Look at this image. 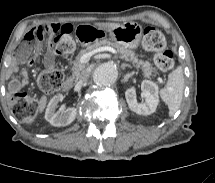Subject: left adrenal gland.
I'll return each instance as SVG.
<instances>
[{"instance_id": "obj_1", "label": "left adrenal gland", "mask_w": 215, "mask_h": 183, "mask_svg": "<svg viewBox=\"0 0 215 183\" xmlns=\"http://www.w3.org/2000/svg\"><path fill=\"white\" fill-rule=\"evenodd\" d=\"M125 67H130V65L125 64V63L121 64V68H122V69H125Z\"/></svg>"}]
</instances>
